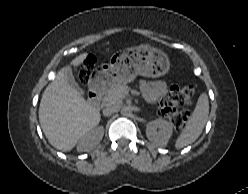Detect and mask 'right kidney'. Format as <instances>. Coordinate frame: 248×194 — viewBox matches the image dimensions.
Instances as JSON below:
<instances>
[{"label": "right kidney", "instance_id": "1", "mask_svg": "<svg viewBox=\"0 0 248 194\" xmlns=\"http://www.w3.org/2000/svg\"><path fill=\"white\" fill-rule=\"evenodd\" d=\"M103 135H104L103 126H99L95 129L90 130L79 139L77 145V151L85 152L93 149L102 140Z\"/></svg>", "mask_w": 248, "mask_h": 194}]
</instances>
